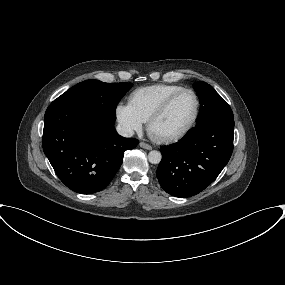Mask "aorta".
<instances>
[{
	"label": "aorta",
	"instance_id": "aorta-1",
	"mask_svg": "<svg viewBox=\"0 0 285 285\" xmlns=\"http://www.w3.org/2000/svg\"><path fill=\"white\" fill-rule=\"evenodd\" d=\"M162 155L159 151L153 150L148 154V160L152 164H158L161 161Z\"/></svg>",
	"mask_w": 285,
	"mask_h": 285
}]
</instances>
